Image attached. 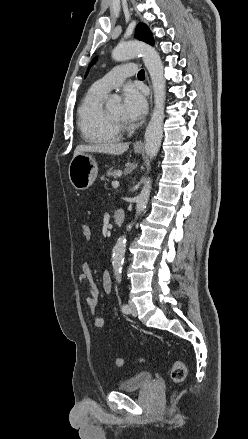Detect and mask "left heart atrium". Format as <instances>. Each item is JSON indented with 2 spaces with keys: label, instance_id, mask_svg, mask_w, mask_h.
<instances>
[{
  "label": "left heart atrium",
  "instance_id": "obj_1",
  "mask_svg": "<svg viewBox=\"0 0 248 439\" xmlns=\"http://www.w3.org/2000/svg\"><path fill=\"white\" fill-rule=\"evenodd\" d=\"M147 109L145 94L137 87H128L123 93L122 111L127 121H137L141 119Z\"/></svg>",
  "mask_w": 248,
  "mask_h": 439
}]
</instances>
